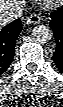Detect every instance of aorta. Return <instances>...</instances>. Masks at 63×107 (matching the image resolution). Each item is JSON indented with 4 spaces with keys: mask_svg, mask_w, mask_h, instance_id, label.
Listing matches in <instances>:
<instances>
[{
    "mask_svg": "<svg viewBox=\"0 0 63 107\" xmlns=\"http://www.w3.org/2000/svg\"><path fill=\"white\" fill-rule=\"evenodd\" d=\"M32 35L36 42L45 44L52 39L53 32L50 27L42 24L33 28Z\"/></svg>",
    "mask_w": 63,
    "mask_h": 107,
    "instance_id": "obj_1",
    "label": "aorta"
}]
</instances>
